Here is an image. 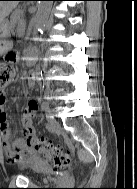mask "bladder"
<instances>
[{
    "label": "bladder",
    "instance_id": "31cf9c89",
    "mask_svg": "<svg viewBox=\"0 0 137 189\" xmlns=\"http://www.w3.org/2000/svg\"><path fill=\"white\" fill-rule=\"evenodd\" d=\"M36 164L35 167L33 168V172L35 175H47L51 172L52 168L49 163L46 161H39L34 163Z\"/></svg>",
    "mask_w": 137,
    "mask_h": 189
}]
</instances>
